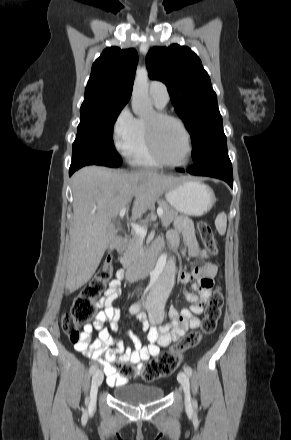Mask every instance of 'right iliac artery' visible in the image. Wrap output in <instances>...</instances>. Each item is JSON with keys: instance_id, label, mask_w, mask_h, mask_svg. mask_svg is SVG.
I'll return each instance as SVG.
<instances>
[{"instance_id": "1", "label": "right iliac artery", "mask_w": 291, "mask_h": 440, "mask_svg": "<svg viewBox=\"0 0 291 440\" xmlns=\"http://www.w3.org/2000/svg\"><path fill=\"white\" fill-rule=\"evenodd\" d=\"M129 311H130L131 314H136V313L139 311V306L136 305V304H134V305H132V306L130 307ZM97 369H98L97 364L94 363V364L90 367V369H89V373H90V374H93Z\"/></svg>"}]
</instances>
